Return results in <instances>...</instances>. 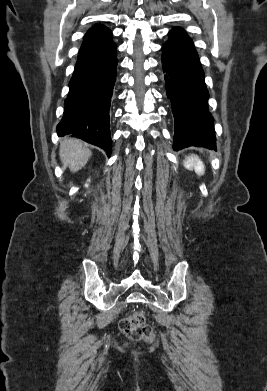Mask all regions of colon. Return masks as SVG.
I'll list each match as a JSON object with an SVG mask.
<instances>
[{
  "label": "colon",
  "instance_id": "1",
  "mask_svg": "<svg viewBox=\"0 0 267 391\" xmlns=\"http://www.w3.org/2000/svg\"><path fill=\"white\" fill-rule=\"evenodd\" d=\"M123 334L133 341H152L154 330L150 325L145 324L143 312H134L124 317L119 323Z\"/></svg>",
  "mask_w": 267,
  "mask_h": 391
}]
</instances>
